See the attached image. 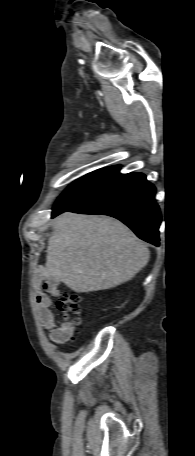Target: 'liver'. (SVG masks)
Instances as JSON below:
<instances>
[{"label":"liver","instance_id":"liver-1","mask_svg":"<svg viewBox=\"0 0 195 456\" xmlns=\"http://www.w3.org/2000/svg\"><path fill=\"white\" fill-rule=\"evenodd\" d=\"M145 243L120 221L63 213L54 220L42 275L79 293L111 289L148 262Z\"/></svg>","mask_w":195,"mask_h":456}]
</instances>
